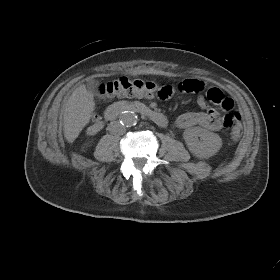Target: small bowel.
Wrapping results in <instances>:
<instances>
[{
	"instance_id": "small-bowel-1",
	"label": "small bowel",
	"mask_w": 280,
	"mask_h": 280,
	"mask_svg": "<svg viewBox=\"0 0 280 280\" xmlns=\"http://www.w3.org/2000/svg\"><path fill=\"white\" fill-rule=\"evenodd\" d=\"M204 88L205 83L198 79H184L179 82L180 92L197 95V104L202 111L181 114L173 121L175 128L187 129L201 126L211 131H219L223 128V120L219 113L208 106L206 98L201 94Z\"/></svg>"
}]
</instances>
